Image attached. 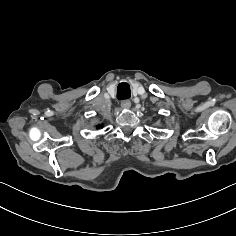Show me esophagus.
<instances>
[{"label":"esophagus","instance_id":"obj_1","mask_svg":"<svg viewBox=\"0 0 236 236\" xmlns=\"http://www.w3.org/2000/svg\"><path fill=\"white\" fill-rule=\"evenodd\" d=\"M121 107L124 109H129L131 107V102L129 100H123L121 102Z\"/></svg>","mask_w":236,"mask_h":236}]
</instances>
